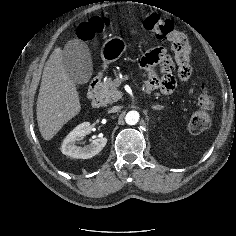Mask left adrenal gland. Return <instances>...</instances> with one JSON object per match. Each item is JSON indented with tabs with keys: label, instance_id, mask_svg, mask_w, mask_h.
Returning a JSON list of instances; mask_svg holds the SVG:
<instances>
[{
	"label": "left adrenal gland",
	"instance_id": "obj_1",
	"mask_svg": "<svg viewBox=\"0 0 236 236\" xmlns=\"http://www.w3.org/2000/svg\"><path fill=\"white\" fill-rule=\"evenodd\" d=\"M152 108L155 110H161L163 108V106L156 105V106H153Z\"/></svg>",
	"mask_w": 236,
	"mask_h": 236
}]
</instances>
